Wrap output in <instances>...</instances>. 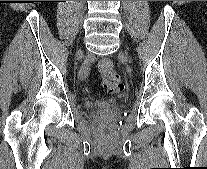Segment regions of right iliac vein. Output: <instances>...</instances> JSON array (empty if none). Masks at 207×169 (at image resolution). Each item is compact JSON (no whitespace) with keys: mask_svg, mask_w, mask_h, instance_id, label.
<instances>
[{"mask_svg":"<svg viewBox=\"0 0 207 169\" xmlns=\"http://www.w3.org/2000/svg\"><path fill=\"white\" fill-rule=\"evenodd\" d=\"M86 76V74L81 73V77L84 78Z\"/></svg>","mask_w":207,"mask_h":169,"instance_id":"1","label":"right iliac vein"}]
</instances>
